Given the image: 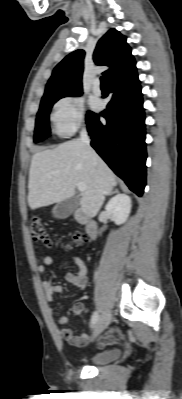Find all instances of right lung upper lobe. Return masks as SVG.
Here are the masks:
<instances>
[{"instance_id": "cb5924a9", "label": "right lung upper lobe", "mask_w": 182, "mask_h": 399, "mask_svg": "<svg viewBox=\"0 0 182 399\" xmlns=\"http://www.w3.org/2000/svg\"><path fill=\"white\" fill-rule=\"evenodd\" d=\"M84 50H76L67 55L53 70L42 99L63 95L82 94V73ZM97 65L110 68L104 73L110 82L126 78L136 72L135 60L126 37L117 30L110 29L97 43L93 54Z\"/></svg>"}]
</instances>
